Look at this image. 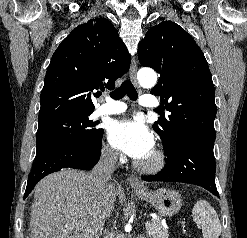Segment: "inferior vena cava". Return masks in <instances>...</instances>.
Returning <instances> with one entry per match:
<instances>
[{"mask_svg":"<svg viewBox=\"0 0 247 238\" xmlns=\"http://www.w3.org/2000/svg\"><path fill=\"white\" fill-rule=\"evenodd\" d=\"M117 157L118 152L114 150L104 151L101 154L99 162L90 173V178L99 190H103L106 186H108L109 181L112 179Z\"/></svg>","mask_w":247,"mask_h":238,"instance_id":"inferior-vena-cava-1","label":"inferior vena cava"}]
</instances>
